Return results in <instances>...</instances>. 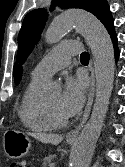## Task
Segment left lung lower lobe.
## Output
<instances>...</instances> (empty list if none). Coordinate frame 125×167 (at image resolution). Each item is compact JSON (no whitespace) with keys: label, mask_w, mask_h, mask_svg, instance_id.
<instances>
[{"label":"left lung lower lobe","mask_w":125,"mask_h":167,"mask_svg":"<svg viewBox=\"0 0 125 167\" xmlns=\"http://www.w3.org/2000/svg\"><path fill=\"white\" fill-rule=\"evenodd\" d=\"M106 29L108 30V33L112 39L113 46H114L115 60L117 61L119 58L118 40H117V36L115 33L113 22L110 25H108Z\"/></svg>","instance_id":"left-lung-lower-lobe-1"}]
</instances>
